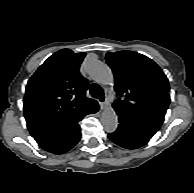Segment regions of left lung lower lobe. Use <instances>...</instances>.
<instances>
[{
	"label": "left lung lower lobe",
	"instance_id": "1",
	"mask_svg": "<svg viewBox=\"0 0 194 193\" xmlns=\"http://www.w3.org/2000/svg\"><path fill=\"white\" fill-rule=\"evenodd\" d=\"M119 125L115 132L108 135L115 144L126 148H139L152 138L159 130L160 124L154 123L142 117L115 109Z\"/></svg>",
	"mask_w": 194,
	"mask_h": 193
}]
</instances>
